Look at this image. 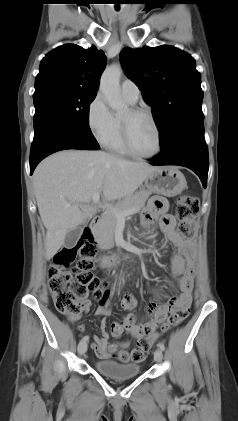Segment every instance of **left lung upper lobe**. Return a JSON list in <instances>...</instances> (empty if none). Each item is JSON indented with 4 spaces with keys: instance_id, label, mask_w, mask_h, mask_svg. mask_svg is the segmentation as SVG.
<instances>
[{
    "instance_id": "1",
    "label": "left lung upper lobe",
    "mask_w": 238,
    "mask_h": 421,
    "mask_svg": "<svg viewBox=\"0 0 238 421\" xmlns=\"http://www.w3.org/2000/svg\"><path fill=\"white\" fill-rule=\"evenodd\" d=\"M121 63L152 107L161 146L187 124L204 121L201 75L188 53L168 45L126 47L121 51Z\"/></svg>"
}]
</instances>
